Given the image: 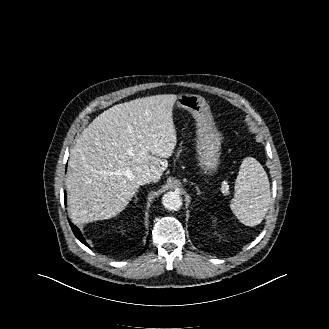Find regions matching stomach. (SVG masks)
Wrapping results in <instances>:
<instances>
[{
  "mask_svg": "<svg viewBox=\"0 0 329 329\" xmlns=\"http://www.w3.org/2000/svg\"><path fill=\"white\" fill-rule=\"evenodd\" d=\"M177 106L189 111L197 125L196 150L201 169L212 173L219 165L222 136L215 127L210 106L200 95L182 94Z\"/></svg>",
  "mask_w": 329,
  "mask_h": 329,
  "instance_id": "stomach-1",
  "label": "stomach"
}]
</instances>
